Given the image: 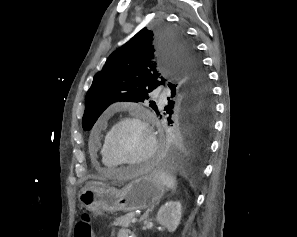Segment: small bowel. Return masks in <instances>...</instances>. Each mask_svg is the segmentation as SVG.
<instances>
[{"label":"small bowel","mask_w":297,"mask_h":237,"mask_svg":"<svg viewBox=\"0 0 297 237\" xmlns=\"http://www.w3.org/2000/svg\"><path fill=\"white\" fill-rule=\"evenodd\" d=\"M118 237H131L129 230L121 229L118 233Z\"/></svg>","instance_id":"c3829d8e"}]
</instances>
